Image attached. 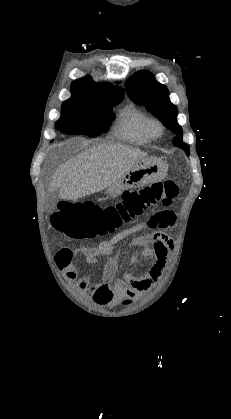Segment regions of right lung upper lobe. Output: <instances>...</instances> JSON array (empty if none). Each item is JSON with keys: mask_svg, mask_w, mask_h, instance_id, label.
Masks as SVG:
<instances>
[{"mask_svg": "<svg viewBox=\"0 0 231 419\" xmlns=\"http://www.w3.org/2000/svg\"><path fill=\"white\" fill-rule=\"evenodd\" d=\"M71 98L67 101L100 102L123 98L124 90L117 86L95 83L89 76L81 78L71 85Z\"/></svg>", "mask_w": 231, "mask_h": 419, "instance_id": "obj_1", "label": "right lung upper lobe"}]
</instances>
